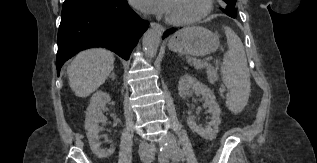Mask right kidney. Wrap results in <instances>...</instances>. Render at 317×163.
<instances>
[{
    "mask_svg": "<svg viewBox=\"0 0 317 163\" xmlns=\"http://www.w3.org/2000/svg\"><path fill=\"white\" fill-rule=\"evenodd\" d=\"M111 98L108 93L97 91L90 100V105L86 110V119H85V130L86 135L89 140L90 148L92 152L98 158H108L111 156L115 148L111 147L108 150L100 148L101 143L99 142V123L106 122V118L102 112L103 106L110 102Z\"/></svg>",
    "mask_w": 317,
    "mask_h": 163,
    "instance_id": "obj_1",
    "label": "right kidney"
}]
</instances>
